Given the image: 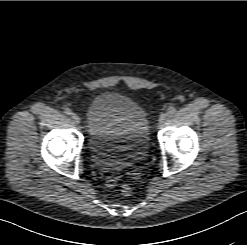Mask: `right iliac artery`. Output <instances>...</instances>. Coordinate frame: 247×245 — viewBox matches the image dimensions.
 <instances>
[{"instance_id": "right-iliac-artery-1", "label": "right iliac artery", "mask_w": 247, "mask_h": 245, "mask_svg": "<svg viewBox=\"0 0 247 245\" xmlns=\"http://www.w3.org/2000/svg\"><path fill=\"white\" fill-rule=\"evenodd\" d=\"M64 113H65L66 115H71V114H72V111H71V109H69V108H65Z\"/></svg>"}]
</instances>
